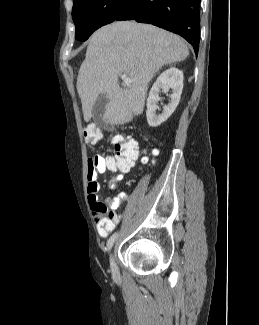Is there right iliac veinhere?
<instances>
[{
    "instance_id": "1",
    "label": "right iliac vein",
    "mask_w": 259,
    "mask_h": 325,
    "mask_svg": "<svg viewBox=\"0 0 259 325\" xmlns=\"http://www.w3.org/2000/svg\"><path fill=\"white\" fill-rule=\"evenodd\" d=\"M110 268H111L112 275L114 277H117L118 276V269H117V265H116L113 253L110 254Z\"/></svg>"
}]
</instances>
